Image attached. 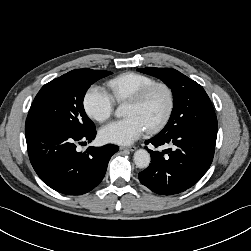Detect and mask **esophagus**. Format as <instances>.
<instances>
[{
  "label": "esophagus",
  "instance_id": "obj_1",
  "mask_svg": "<svg viewBox=\"0 0 251 251\" xmlns=\"http://www.w3.org/2000/svg\"><path fill=\"white\" fill-rule=\"evenodd\" d=\"M120 150H123V151H131V152H133V151H135L136 150V147L135 146H129V147H125V146H121L120 147Z\"/></svg>",
  "mask_w": 251,
  "mask_h": 251
}]
</instances>
